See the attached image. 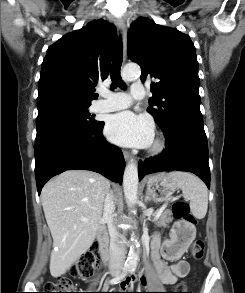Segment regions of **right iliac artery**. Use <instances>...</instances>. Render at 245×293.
Masks as SVG:
<instances>
[{"instance_id": "1", "label": "right iliac artery", "mask_w": 245, "mask_h": 293, "mask_svg": "<svg viewBox=\"0 0 245 293\" xmlns=\"http://www.w3.org/2000/svg\"><path fill=\"white\" fill-rule=\"evenodd\" d=\"M127 273H128V268H124L122 273L119 276L111 279L110 283L111 284L119 283L127 275Z\"/></svg>"}]
</instances>
